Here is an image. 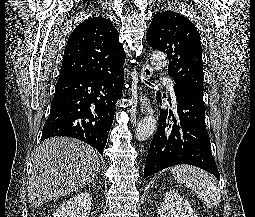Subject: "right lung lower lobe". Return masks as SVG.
Masks as SVG:
<instances>
[{
    "instance_id": "1",
    "label": "right lung lower lobe",
    "mask_w": 255,
    "mask_h": 217,
    "mask_svg": "<svg viewBox=\"0 0 255 217\" xmlns=\"http://www.w3.org/2000/svg\"><path fill=\"white\" fill-rule=\"evenodd\" d=\"M123 84V71L107 76L59 78L41 140L70 136L103 154Z\"/></svg>"
}]
</instances>
